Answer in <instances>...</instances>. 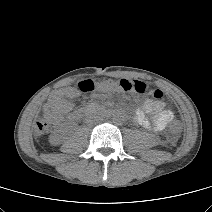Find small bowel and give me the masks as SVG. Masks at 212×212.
I'll return each instance as SVG.
<instances>
[{"label":"small bowel","mask_w":212,"mask_h":212,"mask_svg":"<svg viewBox=\"0 0 212 212\" xmlns=\"http://www.w3.org/2000/svg\"><path fill=\"white\" fill-rule=\"evenodd\" d=\"M78 96V91L73 87L52 92L43 107L46 120L58 124L64 117H68L70 120L77 119L78 112H72L73 103L69 98ZM148 115L152 116V120L148 118ZM173 117V113L165 108L164 102L153 99H148L142 108L138 109L134 114L136 123L144 128L153 129L155 131L164 130L173 120Z\"/></svg>","instance_id":"small-bowel-1"}]
</instances>
